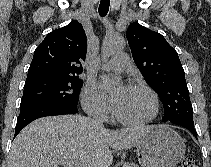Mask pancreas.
Masks as SVG:
<instances>
[{
  "label": "pancreas",
  "mask_w": 211,
  "mask_h": 167,
  "mask_svg": "<svg viewBox=\"0 0 211 167\" xmlns=\"http://www.w3.org/2000/svg\"><path fill=\"white\" fill-rule=\"evenodd\" d=\"M123 167H139V166L134 163L126 162L123 164Z\"/></svg>",
  "instance_id": "cf45deb5"
}]
</instances>
